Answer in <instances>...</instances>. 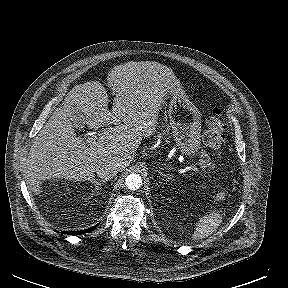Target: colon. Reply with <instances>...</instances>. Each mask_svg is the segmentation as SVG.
<instances>
[{
	"label": "colon",
	"instance_id": "colon-1",
	"mask_svg": "<svg viewBox=\"0 0 288 288\" xmlns=\"http://www.w3.org/2000/svg\"><path fill=\"white\" fill-rule=\"evenodd\" d=\"M226 122L220 112H214L206 122V130L203 135L204 143L213 151L215 157H223L224 132Z\"/></svg>",
	"mask_w": 288,
	"mask_h": 288
}]
</instances>
